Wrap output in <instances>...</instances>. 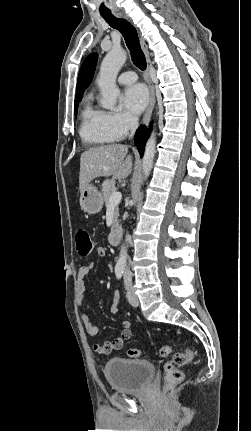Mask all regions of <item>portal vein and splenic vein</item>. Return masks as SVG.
Listing matches in <instances>:
<instances>
[{"mask_svg":"<svg viewBox=\"0 0 251 431\" xmlns=\"http://www.w3.org/2000/svg\"><path fill=\"white\" fill-rule=\"evenodd\" d=\"M121 200H122V194L120 192H114L111 194L109 201L111 205H117L121 202Z\"/></svg>","mask_w":251,"mask_h":431,"instance_id":"1","label":"portal vein and splenic vein"}]
</instances>
